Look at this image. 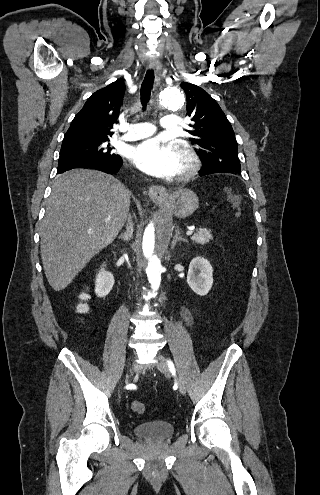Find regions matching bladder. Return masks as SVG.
I'll list each match as a JSON object with an SVG mask.
<instances>
[{
    "label": "bladder",
    "mask_w": 320,
    "mask_h": 495,
    "mask_svg": "<svg viewBox=\"0 0 320 495\" xmlns=\"http://www.w3.org/2000/svg\"><path fill=\"white\" fill-rule=\"evenodd\" d=\"M174 432V425L163 420L143 422L134 427L137 436L156 441L168 439L174 435Z\"/></svg>",
    "instance_id": "obj_1"
}]
</instances>
